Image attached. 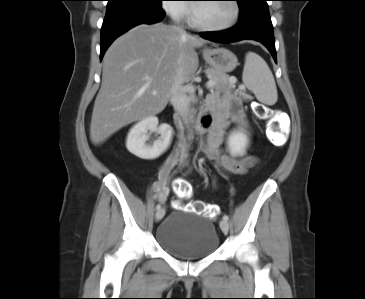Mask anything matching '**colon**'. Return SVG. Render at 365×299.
Masks as SVG:
<instances>
[{"label": "colon", "mask_w": 365, "mask_h": 299, "mask_svg": "<svg viewBox=\"0 0 365 299\" xmlns=\"http://www.w3.org/2000/svg\"><path fill=\"white\" fill-rule=\"evenodd\" d=\"M256 113L261 118L268 119V125L266 130L268 139L274 144H283L286 140L287 134L280 116L278 114L273 115L268 107L261 104L257 106ZM174 187L179 197V201L176 203V207H179L186 211L203 214L211 218L217 217V215L219 214V207L215 204L204 203L201 201L186 204L183 203V201L188 199L193 193V189L188 182L176 181Z\"/></svg>", "instance_id": "obj_1"}]
</instances>
